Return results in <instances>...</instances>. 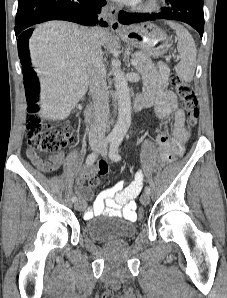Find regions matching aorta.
Here are the masks:
<instances>
[{
	"mask_svg": "<svg viewBox=\"0 0 227 298\" xmlns=\"http://www.w3.org/2000/svg\"><path fill=\"white\" fill-rule=\"evenodd\" d=\"M112 74L118 100V119L110 137L122 140L131 124V98L130 91L124 72L121 70L120 62L112 60Z\"/></svg>",
	"mask_w": 227,
	"mask_h": 298,
	"instance_id": "obj_1",
	"label": "aorta"
}]
</instances>
